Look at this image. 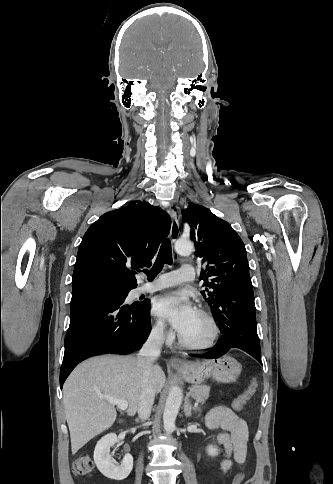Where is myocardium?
Wrapping results in <instances>:
<instances>
[{"label":"myocardium","mask_w":333,"mask_h":484,"mask_svg":"<svg viewBox=\"0 0 333 484\" xmlns=\"http://www.w3.org/2000/svg\"><path fill=\"white\" fill-rule=\"evenodd\" d=\"M197 313H199L201 316H203L209 323L211 327V334L208 340L204 343L201 344H194L186 341L180 334L178 335V341L182 347L188 350L192 351H206L212 348L217 341L219 334H220V329L218 326V323L214 316L207 310L199 308L196 310Z\"/></svg>","instance_id":"f54148a6"}]
</instances>
